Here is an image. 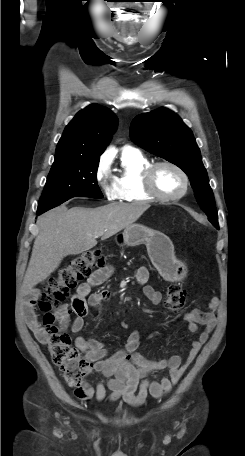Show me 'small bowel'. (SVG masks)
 <instances>
[{
	"label": "small bowel",
	"mask_w": 245,
	"mask_h": 456,
	"mask_svg": "<svg viewBox=\"0 0 245 456\" xmlns=\"http://www.w3.org/2000/svg\"><path fill=\"white\" fill-rule=\"evenodd\" d=\"M113 273V267L106 265L95 270L89 278L80 284L72 299L74 319L70 322L69 312L65 308V315L61 322L63 328L72 333H78L84 326V319L88 314L89 307L99 308L109 298L108 290L101 289L92 291L93 288L104 283ZM149 279V271L145 267L137 270L136 280L143 286V295L153 304H160L163 294L150 285H146ZM38 291L33 290L25 301L23 317L33 331L36 339L43 344L48 342V334L39 324L35 314V303L38 299ZM220 312V301L217 297L210 299L208 310H192L184 314V320L190 332L196 333L199 326H203L198 339L191 343V349L183 360L180 355H173L168 359L152 360L139 353L140 335L133 330L127 336L122 349L112 355H107L105 345L94 339L77 336L76 347L85 353L88 361L94 364V369L103 374L105 381H99L95 386L88 382L81 383L75 390V395L84 401L95 398L97 401H115L119 398L132 406L142 405L150 395L156 399L167 395L175 384L180 380L185 370L195 360L202 346L207 342L214 330ZM168 370V377L156 381L148 376L154 372ZM111 393L108 395L107 391Z\"/></svg>",
	"instance_id": "1"
}]
</instances>
